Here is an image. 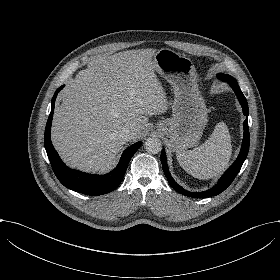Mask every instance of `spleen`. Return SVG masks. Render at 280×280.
Here are the masks:
<instances>
[{
    "instance_id": "spleen-1",
    "label": "spleen",
    "mask_w": 280,
    "mask_h": 280,
    "mask_svg": "<svg viewBox=\"0 0 280 280\" xmlns=\"http://www.w3.org/2000/svg\"><path fill=\"white\" fill-rule=\"evenodd\" d=\"M232 154L227 125L219 122L211 137L200 147L176 154L180 166L193 177L209 179L220 175L228 166Z\"/></svg>"
}]
</instances>
